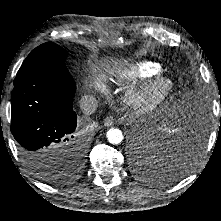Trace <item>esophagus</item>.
Listing matches in <instances>:
<instances>
[{
  "instance_id": "34e87169",
  "label": "esophagus",
  "mask_w": 221,
  "mask_h": 221,
  "mask_svg": "<svg viewBox=\"0 0 221 221\" xmlns=\"http://www.w3.org/2000/svg\"><path fill=\"white\" fill-rule=\"evenodd\" d=\"M114 122H115V119L113 116H107L105 119H104V125L106 127H110V126H113L114 125Z\"/></svg>"
}]
</instances>
